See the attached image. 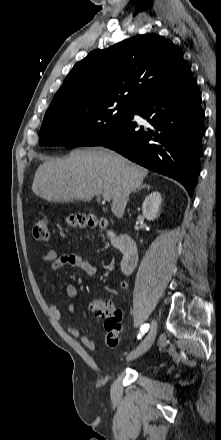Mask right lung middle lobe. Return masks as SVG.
<instances>
[{"instance_id": "dd1d6c3e", "label": "right lung middle lobe", "mask_w": 221, "mask_h": 440, "mask_svg": "<svg viewBox=\"0 0 221 440\" xmlns=\"http://www.w3.org/2000/svg\"><path fill=\"white\" fill-rule=\"evenodd\" d=\"M132 106L107 103L98 106L73 105L47 111L39 133V144L98 146L130 117Z\"/></svg>"}]
</instances>
